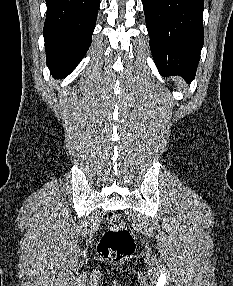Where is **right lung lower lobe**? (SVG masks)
I'll use <instances>...</instances> for the list:
<instances>
[{"instance_id": "98d812e1", "label": "right lung lower lobe", "mask_w": 233, "mask_h": 286, "mask_svg": "<svg viewBox=\"0 0 233 286\" xmlns=\"http://www.w3.org/2000/svg\"><path fill=\"white\" fill-rule=\"evenodd\" d=\"M43 36L47 66L55 77L70 74L91 44L100 0H46Z\"/></svg>"}]
</instances>
